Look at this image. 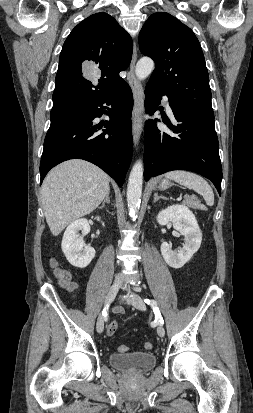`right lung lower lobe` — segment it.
Segmentation results:
<instances>
[{
	"label": "right lung lower lobe",
	"mask_w": 253,
	"mask_h": 413,
	"mask_svg": "<svg viewBox=\"0 0 253 413\" xmlns=\"http://www.w3.org/2000/svg\"><path fill=\"white\" fill-rule=\"evenodd\" d=\"M109 121L106 128L93 125L106 107ZM133 95L124 82L105 96L82 107L67 117L52 122L44 141L40 162L42 183L48 171L57 164L74 158L87 160L110 175L121 187L129 168L132 151L131 112Z\"/></svg>",
	"instance_id": "98d812e1"
}]
</instances>
